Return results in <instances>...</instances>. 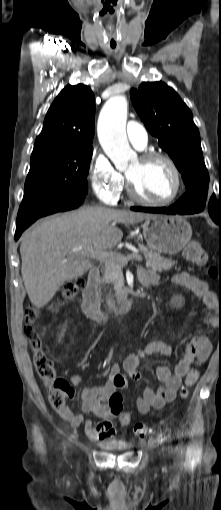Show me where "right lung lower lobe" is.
Wrapping results in <instances>:
<instances>
[{"mask_svg":"<svg viewBox=\"0 0 221 510\" xmlns=\"http://www.w3.org/2000/svg\"><path fill=\"white\" fill-rule=\"evenodd\" d=\"M84 199H85V197H81V198L66 202L64 204H61V205L52 206V207L40 212L39 214H31L27 210L19 209L18 216H17V222H16L15 240L17 241L18 238L20 237V235L22 234V232L27 227H29L34 221H36L38 218L46 216V215H50V214H53L56 212H63V211L77 208L83 203Z\"/></svg>","mask_w":221,"mask_h":510,"instance_id":"98d812e1","label":"right lung lower lobe"}]
</instances>
